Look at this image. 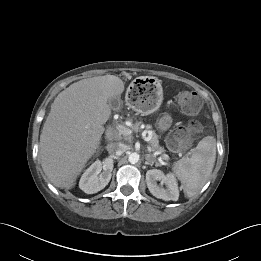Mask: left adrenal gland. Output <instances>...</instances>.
I'll return each instance as SVG.
<instances>
[{"label": "left adrenal gland", "instance_id": "obj_1", "mask_svg": "<svg viewBox=\"0 0 261 261\" xmlns=\"http://www.w3.org/2000/svg\"><path fill=\"white\" fill-rule=\"evenodd\" d=\"M145 159H146V164H149L151 166L154 164V161H152L149 154H146Z\"/></svg>", "mask_w": 261, "mask_h": 261}]
</instances>
